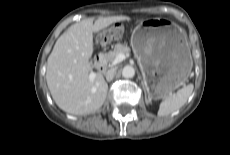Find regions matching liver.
Instances as JSON below:
<instances>
[{
  "instance_id": "6515ba94",
  "label": "liver",
  "mask_w": 230,
  "mask_h": 155,
  "mask_svg": "<svg viewBox=\"0 0 230 155\" xmlns=\"http://www.w3.org/2000/svg\"><path fill=\"white\" fill-rule=\"evenodd\" d=\"M130 20L127 16L92 18L71 25L56 41L47 60V85L63 111L84 115L96 112L104 103L108 85L101 73L89 78L92 67L93 33L113 23Z\"/></svg>"
}]
</instances>
